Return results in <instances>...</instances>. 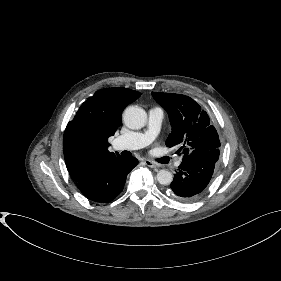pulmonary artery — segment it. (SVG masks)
Listing matches in <instances>:
<instances>
[{
	"label": "pulmonary artery",
	"mask_w": 281,
	"mask_h": 281,
	"mask_svg": "<svg viewBox=\"0 0 281 281\" xmlns=\"http://www.w3.org/2000/svg\"><path fill=\"white\" fill-rule=\"evenodd\" d=\"M164 113L159 107L151 108L148 112V126L144 132H129L120 135L114 141L119 150H138L149 145L160 131ZM180 164V162L178 163Z\"/></svg>",
	"instance_id": "obj_1"
}]
</instances>
